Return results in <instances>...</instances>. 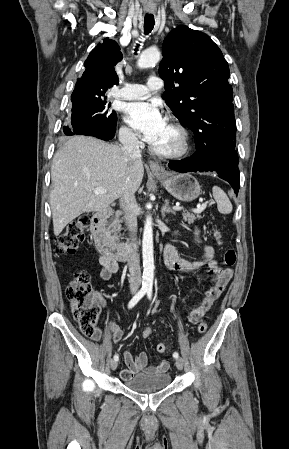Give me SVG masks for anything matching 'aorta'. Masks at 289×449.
<instances>
[{
    "label": "aorta",
    "mask_w": 289,
    "mask_h": 449,
    "mask_svg": "<svg viewBox=\"0 0 289 449\" xmlns=\"http://www.w3.org/2000/svg\"><path fill=\"white\" fill-rule=\"evenodd\" d=\"M161 54L158 49L150 48L142 52L139 60V68H148L160 61ZM152 218L148 216L145 221L142 239L143 276L142 286L152 288L154 279V255H153V230Z\"/></svg>",
    "instance_id": "aorta-1"
}]
</instances>
